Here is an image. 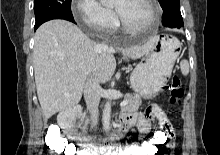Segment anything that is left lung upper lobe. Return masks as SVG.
Here are the masks:
<instances>
[{
    "label": "left lung upper lobe",
    "mask_w": 220,
    "mask_h": 155,
    "mask_svg": "<svg viewBox=\"0 0 220 155\" xmlns=\"http://www.w3.org/2000/svg\"><path fill=\"white\" fill-rule=\"evenodd\" d=\"M163 11L180 8V0H158Z\"/></svg>",
    "instance_id": "obj_1"
}]
</instances>
